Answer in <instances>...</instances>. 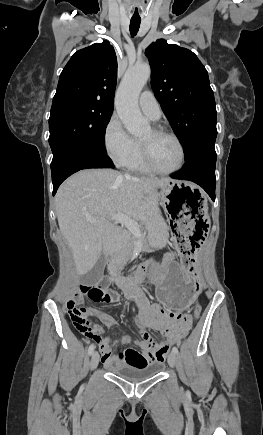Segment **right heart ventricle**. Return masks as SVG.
<instances>
[{
    "instance_id": "right-heart-ventricle-1",
    "label": "right heart ventricle",
    "mask_w": 263,
    "mask_h": 435,
    "mask_svg": "<svg viewBox=\"0 0 263 435\" xmlns=\"http://www.w3.org/2000/svg\"><path fill=\"white\" fill-rule=\"evenodd\" d=\"M136 142H137L136 154L133 157V159L126 165V167L135 173H141V174L149 173L151 171L147 168L144 162L141 142L139 141Z\"/></svg>"
}]
</instances>
